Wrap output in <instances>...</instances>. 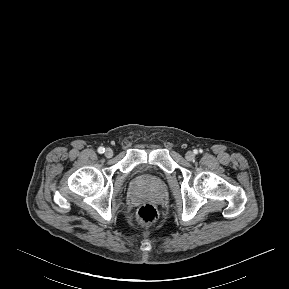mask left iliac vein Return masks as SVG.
Instances as JSON below:
<instances>
[{"mask_svg":"<svg viewBox=\"0 0 289 289\" xmlns=\"http://www.w3.org/2000/svg\"><path fill=\"white\" fill-rule=\"evenodd\" d=\"M195 155L193 152L191 151H188L186 154H185V158L188 160V161H192L194 159Z\"/></svg>","mask_w":289,"mask_h":289,"instance_id":"obj_1","label":"left iliac vein"}]
</instances>
